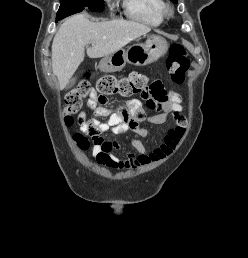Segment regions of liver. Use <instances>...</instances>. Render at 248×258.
Returning a JSON list of instances; mask_svg holds the SVG:
<instances>
[{
    "mask_svg": "<svg viewBox=\"0 0 248 258\" xmlns=\"http://www.w3.org/2000/svg\"><path fill=\"white\" fill-rule=\"evenodd\" d=\"M150 27L121 19L92 22L85 14L68 18L59 28L52 43V71L64 89L83 62L85 46L89 58L108 56L129 42L146 35Z\"/></svg>",
    "mask_w": 248,
    "mask_h": 258,
    "instance_id": "6515ba94",
    "label": "liver"
}]
</instances>
